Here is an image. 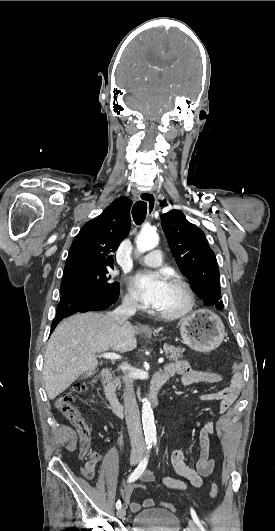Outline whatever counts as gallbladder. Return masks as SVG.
Listing matches in <instances>:
<instances>
[{
    "label": "gallbladder",
    "mask_w": 275,
    "mask_h": 531,
    "mask_svg": "<svg viewBox=\"0 0 275 531\" xmlns=\"http://www.w3.org/2000/svg\"><path fill=\"white\" fill-rule=\"evenodd\" d=\"M96 371H87V373H84V375H80L79 379L83 381V379H88V377H91V375H95Z\"/></svg>",
    "instance_id": "obj_1"
}]
</instances>
